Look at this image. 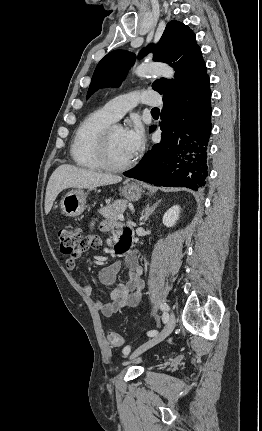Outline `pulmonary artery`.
<instances>
[{
  "label": "pulmonary artery",
  "mask_w": 262,
  "mask_h": 431,
  "mask_svg": "<svg viewBox=\"0 0 262 431\" xmlns=\"http://www.w3.org/2000/svg\"><path fill=\"white\" fill-rule=\"evenodd\" d=\"M138 104L157 107L162 105V101L157 92L143 89L119 95L108 101L103 108L113 120H118Z\"/></svg>",
  "instance_id": "pulmonary-artery-1"
}]
</instances>
